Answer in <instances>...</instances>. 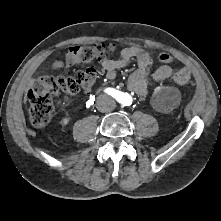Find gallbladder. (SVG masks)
<instances>
[{"label":"gallbladder","instance_id":"obj_1","mask_svg":"<svg viewBox=\"0 0 221 221\" xmlns=\"http://www.w3.org/2000/svg\"><path fill=\"white\" fill-rule=\"evenodd\" d=\"M53 66H54V68H60V67H63V63L62 62H55Z\"/></svg>","mask_w":221,"mask_h":221}]
</instances>
